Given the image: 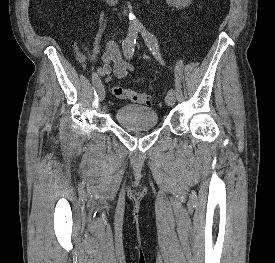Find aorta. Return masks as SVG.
<instances>
[{
    "label": "aorta",
    "mask_w": 275,
    "mask_h": 263,
    "mask_svg": "<svg viewBox=\"0 0 275 263\" xmlns=\"http://www.w3.org/2000/svg\"><path fill=\"white\" fill-rule=\"evenodd\" d=\"M129 20H130V24L134 27H141V23L139 22V20L134 16L133 13H129Z\"/></svg>",
    "instance_id": "1"
}]
</instances>
